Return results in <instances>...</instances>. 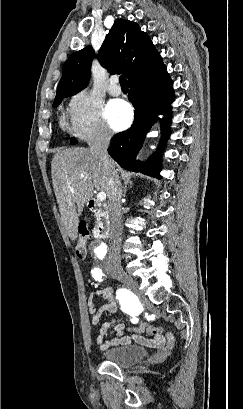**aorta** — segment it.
Wrapping results in <instances>:
<instances>
[{
    "mask_svg": "<svg viewBox=\"0 0 243 409\" xmlns=\"http://www.w3.org/2000/svg\"><path fill=\"white\" fill-rule=\"evenodd\" d=\"M104 249V244H101L99 247H98V251H102Z\"/></svg>",
    "mask_w": 243,
    "mask_h": 409,
    "instance_id": "obj_1",
    "label": "aorta"
}]
</instances>
